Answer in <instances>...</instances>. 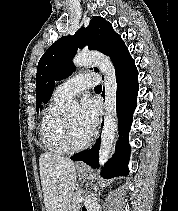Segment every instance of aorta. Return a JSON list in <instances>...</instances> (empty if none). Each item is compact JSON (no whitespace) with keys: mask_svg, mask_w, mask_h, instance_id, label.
I'll use <instances>...</instances> for the list:
<instances>
[{"mask_svg":"<svg viewBox=\"0 0 178 211\" xmlns=\"http://www.w3.org/2000/svg\"><path fill=\"white\" fill-rule=\"evenodd\" d=\"M73 64L76 67L95 65L100 69L104 77L103 84L105 89L106 112L99 151V170H101V167L105 164L110 155L116 135L117 80L115 67L108 56L95 51H83L78 53L73 58ZM78 107L76 101L69 103V108L72 110H76Z\"/></svg>","mask_w":178,"mask_h":211,"instance_id":"aorta-1","label":"aorta"}]
</instances>
